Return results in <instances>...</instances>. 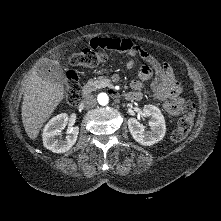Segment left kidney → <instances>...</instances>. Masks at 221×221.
Here are the masks:
<instances>
[{
  "label": "left kidney",
  "instance_id": "1",
  "mask_svg": "<svg viewBox=\"0 0 221 221\" xmlns=\"http://www.w3.org/2000/svg\"><path fill=\"white\" fill-rule=\"evenodd\" d=\"M143 115L150 117L149 126L151 130L145 131L144 126L137 119L129 118V131L136 142L144 146H151L162 140L165 135L164 116L160 109L154 105H145Z\"/></svg>",
  "mask_w": 221,
  "mask_h": 221
}]
</instances>
